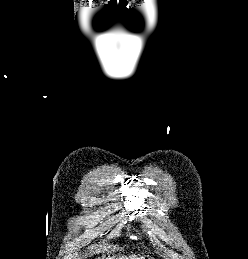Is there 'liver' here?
Segmentation results:
<instances>
[{"instance_id": "liver-1", "label": "liver", "mask_w": 248, "mask_h": 259, "mask_svg": "<svg viewBox=\"0 0 248 259\" xmlns=\"http://www.w3.org/2000/svg\"><path fill=\"white\" fill-rule=\"evenodd\" d=\"M96 259H140V258L136 255H131L129 257L122 255V256H117V257L116 256H112V257L102 256V257H98Z\"/></svg>"}]
</instances>
